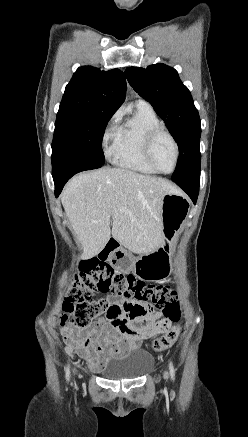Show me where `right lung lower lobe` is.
Instances as JSON below:
<instances>
[{
	"label": "right lung lower lobe",
	"mask_w": 248,
	"mask_h": 437,
	"mask_svg": "<svg viewBox=\"0 0 248 437\" xmlns=\"http://www.w3.org/2000/svg\"><path fill=\"white\" fill-rule=\"evenodd\" d=\"M101 166H96L92 164H88L83 161H65L60 164L54 165L52 169V176L55 183V195L58 197L65 183L76 173L84 171L96 169Z\"/></svg>",
	"instance_id": "98d812e1"
}]
</instances>
